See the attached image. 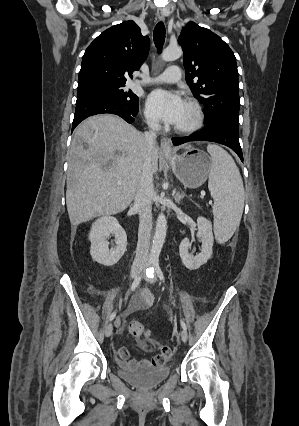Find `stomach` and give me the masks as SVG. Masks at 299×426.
<instances>
[{
	"instance_id": "obj_1",
	"label": "stomach",
	"mask_w": 299,
	"mask_h": 426,
	"mask_svg": "<svg viewBox=\"0 0 299 426\" xmlns=\"http://www.w3.org/2000/svg\"><path fill=\"white\" fill-rule=\"evenodd\" d=\"M172 171L188 188H197L205 183L212 168L211 158L202 150L189 148L182 155H166Z\"/></svg>"
}]
</instances>
